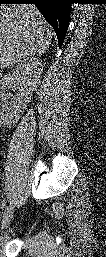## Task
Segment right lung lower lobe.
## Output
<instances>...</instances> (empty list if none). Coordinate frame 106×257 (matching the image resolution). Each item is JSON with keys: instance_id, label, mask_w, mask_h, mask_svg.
<instances>
[{"instance_id": "98d812e1", "label": "right lung lower lobe", "mask_w": 106, "mask_h": 257, "mask_svg": "<svg viewBox=\"0 0 106 257\" xmlns=\"http://www.w3.org/2000/svg\"><path fill=\"white\" fill-rule=\"evenodd\" d=\"M0 3H33L56 32L59 47L62 46L74 0H0Z\"/></svg>"}]
</instances>
